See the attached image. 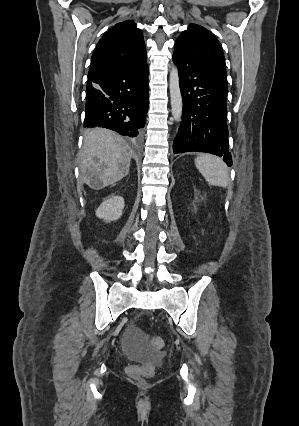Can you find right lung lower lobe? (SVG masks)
<instances>
[{
    "label": "right lung lower lobe",
    "mask_w": 299,
    "mask_h": 426,
    "mask_svg": "<svg viewBox=\"0 0 299 426\" xmlns=\"http://www.w3.org/2000/svg\"><path fill=\"white\" fill-rule=\"evenodd\" d=\"M84 127H105L138 138L148 110V65L88 77Z\"/></svg>",
    "instance_id": "98d812e1"
}]
</instances>
